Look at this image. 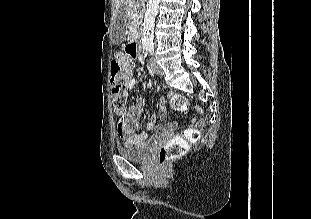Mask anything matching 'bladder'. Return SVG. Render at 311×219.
<instances>
[{
  "mask_svg": "<svg viewBox=\"0 0 311 219\" xmlns=\"http://www.w3.org/2000/svg\"><path fill=\"white\" fill-rule=\"evenodd\" d=\"M117 152L125 159L132 161H143L149 156L150 148L144 145L138 147L118 146Z\"/></svg>",
  "mask_w": 311,
  "mask_h": 219,
  "instance_id": "obj_1",
  "label": "bladder"
}]
</instances>
